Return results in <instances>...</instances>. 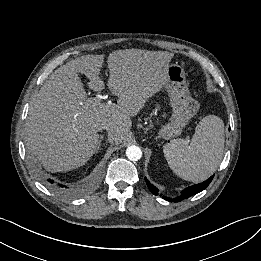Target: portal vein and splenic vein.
I'll use <instances>...</instances> for the list:
<instances>
[{"label": "portal vein and splenic vein", "instance_id": "18ae733b", "mask_svg": "<svg viewBox=\"0 0 261 261\" xmlns=\"http://www.w3.org/2000/svg\"><path fill=\"white\" fill-rule=\"evenodd\" d=\"M100 104H101V98L99 97L89 98L87 100V105L90 107H96Z\"/></svg>", "mask_w": 261, "mask_h": 261}]
</instances>
